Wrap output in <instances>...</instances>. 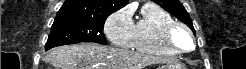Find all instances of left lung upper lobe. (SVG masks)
Returning a JSON list of instances; mask_svg holds the SVG:
<instances>
[{
    "mask_svg": "<svg viewBox=\"0 0 246 69\" xmlns=\"http://www.w3.org/2000/svg\"><path fill=\"white\" fill-rule=\"evenodd\" d=\"M155 3L159 4L163 9L168 11L170 14L174 15L176 18L180 19L187 26L191 28L195 34V29L193 27L192 21L188 12L185 10L184 6L179 2V0H153Z\"/></svg>",
    "mask_w": 246,
    "mask_h": 69,
    "instance_id": "1",
    "label": "left lung upper lobe"
}]
</instances>
